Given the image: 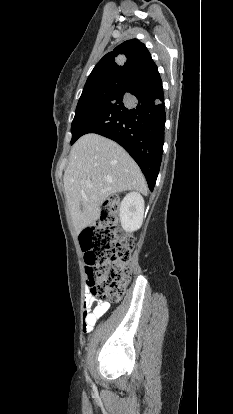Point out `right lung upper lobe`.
Wrapping results in <instances>:
<instances>
[{
    "label": "right lung upper lobe",
    "mask_w": 233,
    "mask_h": 414,
    "mask_svg": "<svg viewBox=\"0 0 233 414\" xmlns=\"http://www.w3.org/2000/svg\"><path fill=\"white\" fill-rule=\"evenodd\" d=\"M157 73L158 68L145 45L137 39H131L107 53L94 67L87 82L106 76L134 81Z\"/></svg>",
    "instance_id": "1"
}]
</instances>
